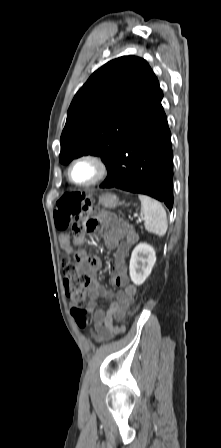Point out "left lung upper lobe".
I'll return each instance as SVG.
<instances>
[{"label": "left lung upper lobe", "mask_w": 221, "mask_h": 448, "mask_svg": "<svg viewBox=\"0 0 221 448\" xmlns=\"http://www.w3.org/2000/svg\"><path fill=\"white\" fill-rule=\"evenodd\" d=\"M162 95L144 59L123 56L109 61L72 100L60 139V162L91 154L107 166L121 141Z\"/></svg>", "instance_id": "obj_1"}]
</instances>
